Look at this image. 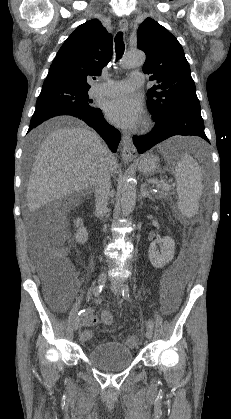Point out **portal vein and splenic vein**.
<instances>
[{
    "label": "portal vein and splenic vein",
    "instance_id": "obj_1",
    "mask_svg": "<svg viewBox=\"0 0 231 419\" xmlns=\"http://www.w3.org/2000/svg\"><path fill=\"white\" fill-rule=\"evenodd\" d=\"M160 183L162 184L163 189L169 190V189L171 188V186H170L169 184H166V183L164 182V180L160 181Z\"/></svg>",
    "mask_w": 231,
    "mask_h": 419
}]
</instances>
